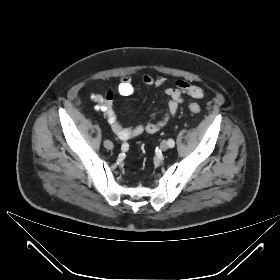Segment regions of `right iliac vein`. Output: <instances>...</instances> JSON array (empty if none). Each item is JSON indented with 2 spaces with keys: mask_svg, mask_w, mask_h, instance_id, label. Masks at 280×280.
Listing matches in <instances>:
<instances>
[{
  "mask_svg": "<svg viewBox=\"0 0 280 280\" xmlns=\"http://www.w3.org/2000/svg\"><path fill=\"white\" fill-rule=\"evenodd\" d=\"M103 144L106 149H109V150L113 149V143L111 141L105 140Z\"/></svg>",
  "mask_w": 280,
  "mask_h": 280,
  "instance_id": "obj_1",
  "label": "right iliac vein"
}]
</instances>
